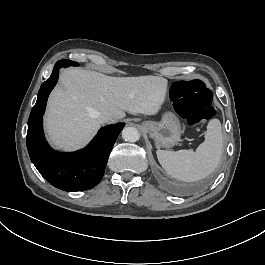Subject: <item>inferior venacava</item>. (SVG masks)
Masks as SVG:
<instances>
[{"label":"inferior vena cava","mask_w":265,"mask_h":265,"mask_svg":"<svg viewBox=\"0 0 265 265\" xmlns=\"http://www.w3.org/2000/svg\"><path fill=\"white\" fill-rule=\"evenodd\" d=\"M98 120H99L101 123H104V122H113V121H115L116 119H115L113 116H111V115H109V114H107V113H102V114L99 116Z\"/></svg>","instance_id":"obj_1"}]
</instances>
